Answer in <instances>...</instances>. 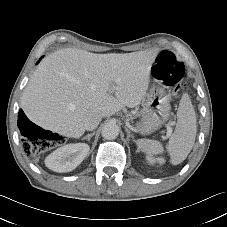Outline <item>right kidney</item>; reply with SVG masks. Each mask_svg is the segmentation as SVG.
Listing matches in <instances>:
<instances>
[{"label":"right kidney","instance_id":"right-kidney-1","mask_svg":"<svg viewBox=\"0 0 227 227\" xmlns=\"http://www.w3.org/2000/svg\"><path fill=\"white\" fill-rule=\"evenodd\" d=\"M89 149L86 143L64 145L46 157L45 165L55 172L72 171L84 160Z\"/></svg>","mask_w":227,"mask_h":227}]
</instances>
